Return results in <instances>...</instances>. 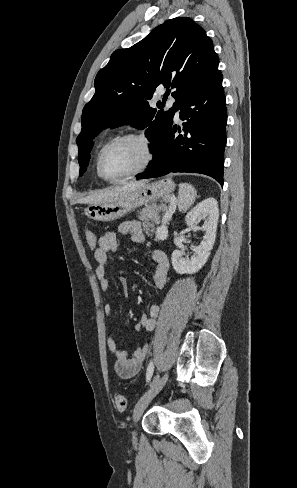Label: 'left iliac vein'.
Wrapping results in <instances>:
<instances>
[{
    "instance_id": "1",
    "label": "left iliac vein",
    "mask_w": 297,
    "mask_h": 488,
    "mask_svg": "<svg viewBox=\"0 0 297 488\" xmlns=\"http://www.w3.org/2000/svg\"><path fill=\"white\" fill-rule=\"evenodd\" d=\"M168 374L165 373L162 377L158 380L153 381L149 390L145 392V394L139 399L136 403L134 410H133V419L137 422L141 415L143 414L144 410L147 408L149 403L152 399L161 391L164 387L165 383L167 382ZM133 442H136V432H133Z\"/></svg>"
}]
</instances>
